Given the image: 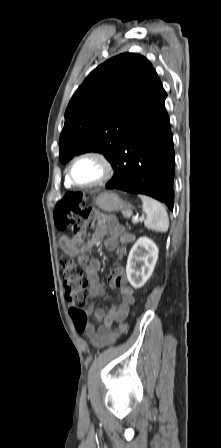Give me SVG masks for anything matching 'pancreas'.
I'll list each match as a JSON object with an SVG mask.
<instances>
[{
  "label": "pancreas",
  "instance_id": "cf45deb5",
  "mask_svg": "<svg viewBox=\"0 0 221 448\" xmlns=\"http://www.w3.org/2000/svg\"><path fill=\"white\" fill-rule=\"evenodd\" d=\"M123 214H124L125 217H128L130 215V214H127V213H123Z\"/></svg>",
  "mask_w": 221,
  "mask_h": 448
}]
</instances>
